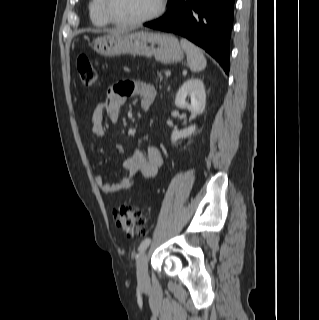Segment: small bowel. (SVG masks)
Wrapping results in <instances>:
<instances>
[{"label":"small bowel","mask_w":319,"mask_h":320,"mask_svg":"<svg viewBox=\"0 0 319 320\" xmlns=\"http://www.w3.org/2000/svg\"><path fill=\"white\" fill-rule=\"evenodd\" d=\"M130 96L138 97L141 110L148 111L156 99V89L151 84L129 80H121L111 85L107 98L98 103L92 111L91 133L94 137L101 138L105 135V115L113 123L119 121L121 106ZM162 162V154L154 146L148 147L145 153L137 150L124 160L123 167L127 175L119 182L109 183L101 175L95 177V182L105 194L128 190L134 185L138 174L148 179L155 177Z\"/></svg>","instance_id":"small-bowel-1"}]
</instances>
